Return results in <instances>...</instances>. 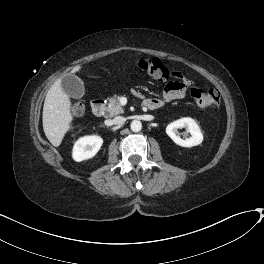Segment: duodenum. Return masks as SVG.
Instances as JSON below:
<instances>
[{
	"instance_id": "1",
	"label": "duodenum",
	"mask_w": 264,
	"mask_h": 264,
	"mask_svg": "<svg viewBox=\"0 0 264 264\" xmlns=\"http://www.w3.org/2000/svg\"><path fill=\"white\" fill-rule=\"evenodd\" d=\"M106 104L103 98H96L92 102V113L95 117H102L105 114Z\"/></svg>"
}]
</instances>
